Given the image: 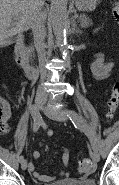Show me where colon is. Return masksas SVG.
I'll return each mask as SVG.
<instances>
[{
	"label": "colon",
	"mask_w": 119,
	"mask_h": 185,
	"mask_svg": "<svg viewBox=\"0 0 119 185\" xmlns=\"http://www.w3.org/2000/svg\"><path fill=\"white\" fill-rule=\"evenodd\" d=\"M114 18L119 21V7L116 6L112 10ZM119 104V83H115L110 91L107 107H108V118H113L116 113L117 107ZM9 131V119L4 113L3 106L0 104V133L5 134ZM94 165L89 159L82 160L77 170L81 174H89L93 171Z\"/></svg>",
	"instance_id": "colon-1"
}]
</instances>
